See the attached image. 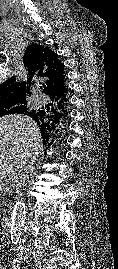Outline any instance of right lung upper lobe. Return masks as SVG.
<instances>
[{"instance_id": "obj_1", "label": "right lung upper lobe", "mask_w": 118, "mask_h": 269, "mask_svg": "<svg viewBox=\"0 0 118 269\" xmlns=\"http://www.w3.org/2000/svg\"><path fill=\"white\" fill-rule=\"evenodd\" d=\"M23 62L27 80L18 82L13 76L0 84V106L27 103V96H31L29 87L35 83L42 84L50 103L38 110L26 107L21 114L29 115L40 124L42 138L47 141L51 132L58 131L56 125L67 114L68 86L64 65L49 47L39 44L27 47Z\"/></svg>"}]
</instances>
